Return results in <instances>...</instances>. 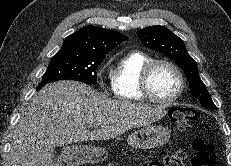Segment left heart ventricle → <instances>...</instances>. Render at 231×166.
I'll use <instances>...</instances> for the list:
<instances>
[{
  "mask_svg": "<svg viewBox=\"0 0 231 166\" xmlns=\"http://www.w3.org/2000/svg\"><path fill=\"white\" fill-rule=\"evenodd\" d=\"M150 87L156 97L168 99L178 90V77L170 67L158 65L151 74Z\"/></svg>",
  "mask_w": 231,
  "mask_h": 166,
  "instance_id": "b2bd125f",
  "label": "left heart ventricle"
}]
</instances>
